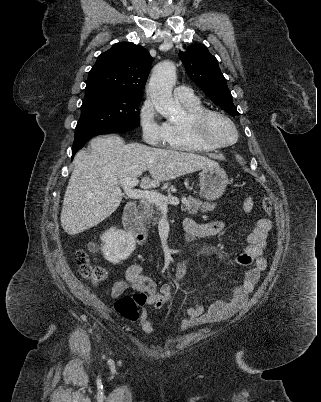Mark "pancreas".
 Here are the masks:
<instances>
[{
	"mask_svg": "<svg viewBox=\"0 0 321 402\" xmlns=\"http://www.w3.org/2000/svg\"><path fill=\"white\" fill-rule=\"evenodd\" d=\"M216 204L213 203H203L199 199L189 197L187 198L181 206V210L188 212V214L196 215L198 211L202 213H207L213 211ZM160 208L153 202L149 200L142 199L140 204V219L143 223L147 225H156L159 221Z\"/></svg>",
	"mask_w": 321,
	"mask_h": 402,
	"instance_id": "1",
	"label": "pancreas"
}]
</instances>
